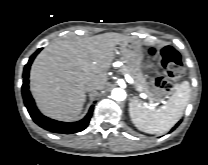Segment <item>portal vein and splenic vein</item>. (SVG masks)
<instances>
[{
	"label": "portal vein and splenic vein",
	"instance_id": "obj_1",
	"mask_svg": "<svg viewBox=\"0 0 208 165\" xmlns=\"http://www.w3.org/2000/svg\"><path fill=\"white\" fill-rule=\"evenodd\" d=\"M128 76H126V79L128 80ZM141 97L143 98V99H147V95L146 94H144V93H142L141 94ZM149 108H151V109H153V108H155L156 106H157V103H154V101L152 100V99H149Z\"/></svg>",
	"mask_w": 208,
	"mask_h": 165
}]
</instances>
